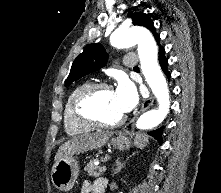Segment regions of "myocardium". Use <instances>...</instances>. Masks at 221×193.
<instances>
[{
  "label": "myocardium",
  "mask_w": 221,
  "mask_h": 193,
  "mask_svg": "<svg viewBox=\"0 0 221 193\" xmlns=\"http://www.w3.org/2000/svg\"><path fill=\"white\" fill-rule=\"evenodd\" d=\"M105 90H112V85L107 82H95L87 84L78 92L73 100L72 110L80 123L97 128H116L124 123V115L115 121H105L95 112L93 103Z\"/></svg>",
  "instance_id": "f54148a6"
}]
</instances>
